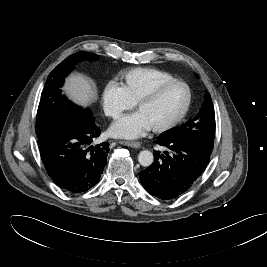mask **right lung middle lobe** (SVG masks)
Returning a JSON list of instances; mask_svg holds the SVG:
<instances>
[{
	"label": "right lung middle lobe",
	"instance_id": "right-lung-middle-lobe-1",
	"mask_svg": "<svg viewBox=\"0 0 267 267\" xmlns=\"http://www.w3.org/2000/svg\"><path fill=\"white\" fill-rule=\"evenodd\" d=\"M97 55L81 51L73 54L59 64L47 78L41 100L38 107L36 134L38 142L51 134L60 124L69 123L75 127L84 124L86 121L93 120L89 109L71 103L61 94L66 75L73 66L82 60H95Z\"/></svg>",
	"mask_w": 267,
	"mask_h": 267
}]
</instances>
